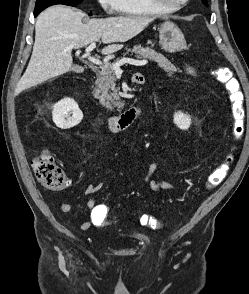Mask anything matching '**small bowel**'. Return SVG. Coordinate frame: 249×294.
Wrapping results in <instances>:
<instances>
[{
	"mask_svg": "<svg viewBox=\"0 0 249 294\" xmlns=\"http://www.w3.org/2000/svg\"><path fill=\"white\" fill-rule=\"evenodd\" d=\"M183 68L188 76L191 78H195L194 69L187 63L183 64ZM159 167V163L157 161H152L147 169L146 174L143 179L136 184H131V188H137L143 185H147L152 191L161 192L165 190H172L175 185L172 182L161 180L154 178V173ZM103 185L100 182L91 183L87 185L84 189V193L88 196L93 195L99 192L102 189ZM85 207L90 212V219L84 220L80 223V228L82 230H88L91 226L103 227L108 224V215L106 212V206L104 204L97 203V201L93 198H89ZM73 209L70 203H61L60 210L64 213H69Z\"/></svg>",
	"mask_w": 249,
	"mask_h": 294,
	"instance_id": "c3829d8e",
	"label": "small bowel"
}]
</instances>
